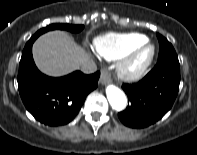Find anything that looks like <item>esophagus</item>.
<instances>
[{
  "mask_svg": "<svg viewBox=\"0 0 197 155\" xmlns=\"http://www.w3.org/2000/svg\"><path fill=\"white\" fill-rule=\"evenodd\" d=\"M111 75L108 71H106L105 69L101 71V75H100V83L102 85H106L109 84L111 82Z\"/></svg>",
  "mask_w": 197,
  "mask_h": 155,
  "instance_id": "1",
  "label": "esophagus"
}]
</instances>
